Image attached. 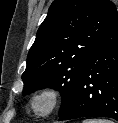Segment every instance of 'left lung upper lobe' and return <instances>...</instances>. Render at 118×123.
Instances as JSON below:
<instances>
[{"instance_id": "obj_1", "label": "left lung upper lobe", "mask_w": 118, "mask_h": 123, "mask_svg": "<svg viewBox=\"0 0 118 123\" xmlns=\"http://www.w3.org/2000/svg\"><path fill=\"white\" fill-rule=\"evenodd\" d=\"M117 20L109 0H55L29 50L23 94L54 88L64 110L93 49Z\"/></svg>"}]
</instances>
